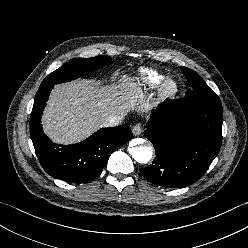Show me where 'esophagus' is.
<instances>
[{"instance_id": "34e87169", "label": "esophagus", "mask_w": 248, "mask_h": 248, "mask_svg": "<svg viewBox=\"0 0 248 248\" xmlns=\"http://www.w3.org/2000/svg\"><path fill=\"white\" fill-rule=\"evenodd\" d=\"M132 132L134 134V136H139L141 135V133L143 132V127L140 123L136 124L133 128H132Z\"/></svg>"}]
</instances>
